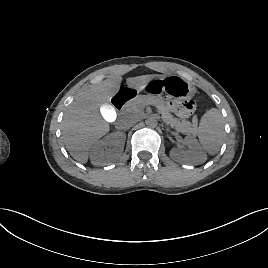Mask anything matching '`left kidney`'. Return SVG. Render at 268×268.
<instances>
[{
	"label": "left kidney",
	"mask_w": 268,
	"mask_h": 268,
	"mask_svg": "<svg viewBox=\"0 0 268 268\" xmlns=\"http://www.w3.org/2000/svg\"><path fill=\"white\" fill-rule=\"evenodd\" d=\"M184 145L187 146V149H184L182 146L178 148H172L170 151V157L183 162L191 164H200L206 161L207 156L202 151L197 140L191 136H187L184 139Z\"/></svg>",
	"instance_id": "1"
}]
</instances>
